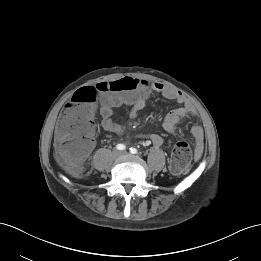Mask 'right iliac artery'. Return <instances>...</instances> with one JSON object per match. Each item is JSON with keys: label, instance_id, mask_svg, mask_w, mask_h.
Returning <instances> with one entry per match:
<instances>
[{"label": "right iliac artery", "instance_id": "82829eb1", "mask_svg": "<svg viewBox=\"0 0 261 261\" xmlns=\"http://www.w3.org/2000/svg\"><path fill=\"white\" fill-rule=\"evenodd\" d=\"M116 148H117L118 150H125V149H126V146H125L124 144H118V145L116 146Z\"/></svg>", "mask_w": 261, "mask_h": 261}]
</instances>
